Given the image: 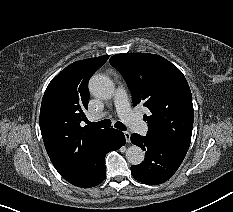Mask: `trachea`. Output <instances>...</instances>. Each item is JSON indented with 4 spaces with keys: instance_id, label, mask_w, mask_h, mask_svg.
Here are the masks:
<instances>
[{
    "instance_id": "obj_1",
    "label": "trachea",
    "mask_w": 233,
    "mask_h": 212,
    "mask_svg": "<svg viewBox=\"0 0 233 212\" xmlns=\"http://www.w3.org/2000/svg\"><path fill=\"white\" fill-rule=\"evenodd\" d=\"M88 124L91 127L108 128L111 126V121L109 119H105L100 122H89L88 121ZM114 127L122 131H126L127 129L126 126L119 121L114 124Z\"/></svg>"
}]
</instances>
